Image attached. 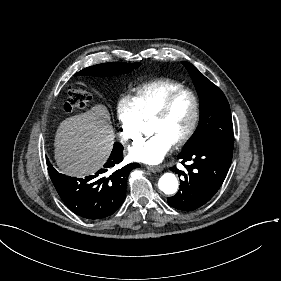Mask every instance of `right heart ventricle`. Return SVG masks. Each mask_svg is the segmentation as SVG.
Returning <instances> with one entry per match:
<instances>
[{"label": "right heart ventricle", "mask_w": 281, "mask_h": 281, "mask_svg": "<svg viewBox=\"0 0 281 281\" xmlns=\"http://www.w3.org/2000/svg\"><path fill=\"white\" fill-rule=\"evenodd\" d=\"M185 89L182 83L172 80L154 82L133 92L129 101L139 119H145L171 94Z\"/></svg>", "instance_id": "obj_1"}]
</instances>
